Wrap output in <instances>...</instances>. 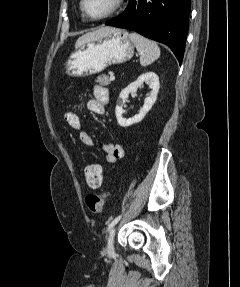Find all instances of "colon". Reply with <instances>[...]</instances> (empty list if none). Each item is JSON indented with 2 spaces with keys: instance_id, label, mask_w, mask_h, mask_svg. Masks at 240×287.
I'll list each match as a JSON object with an SVG mask.
<instances>
[{
  "instance_id": "1",
  "label": "colon",
  "mask_w": 240,
  "mask_h": 287,
  "mask_svg": "<svg viewBox=\"0 0 240 287\" xmlns=\"http://www.w3.org/2000/svg\"><path fill=\"white\" fill-rule=\"evenodd\" d=\"M84 175L86 184L92 188H100L103 184V170L101 165L94 162H89L85 165ZM108 192L106 190L99 194H89L86 197V204L93 214H101L104 211V206Z\"/></svg>"
}]
</instances>
